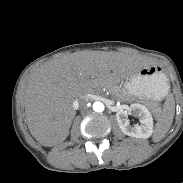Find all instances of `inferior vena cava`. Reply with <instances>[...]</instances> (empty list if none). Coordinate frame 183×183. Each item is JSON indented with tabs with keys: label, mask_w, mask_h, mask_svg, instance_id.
Returning <instances> with one entry per match:
<instances>
[{
	"label": "inferior vena cava",
	"mask_w": 183,
	"mask_h": 183,
	"mask_svg": "<svg viewBox=\"0 0 183 183\" xmlns=\"http://www.w3.org/2000/svg\"><path fill=\"white\" fill-rule=\"evenodd\" d=\"M89 101V97L88 96H86V95H84V96H82L80 99H78V100H75L74 102H73V107L75 108V109H77L78 107H79V105H84L86 102H88Z\"/></svg>",
	"instance_id": "602c4592"
}]
</instances>
